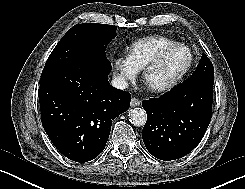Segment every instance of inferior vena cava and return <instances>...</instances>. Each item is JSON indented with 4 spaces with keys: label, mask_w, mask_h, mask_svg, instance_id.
Returning a JSON list of instances; mask_svg holds the SVG:
<instances>
[{
    "label": "inferior vena cava",
    "mask_w": 245,
    "mask_h": 189,
    "mask_svg": "<svg viewBox=\"0 0 245 189\" xmlns=\"http://www.w3.org/2000/svg\"><path fill=\"white\" fill-rule=\"evenodd\" d=\"M111 85L120 90H124L128 87L127 81L121 76H114Z\"/></svg>",
    "instance_id": "1"
}]
</instances>
